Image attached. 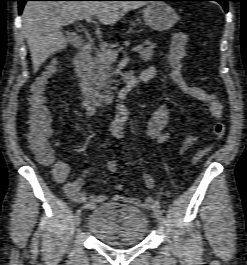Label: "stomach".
Masks as SVG:
<instances>
[{"label": "stomach", "mask_w": 247, "mask_h": 265, "mask_svg": "<svg viewBox=\"0 0 247 265\" xmlns=\"http://www.w3.org/2000/svg\"><path fill=\"white\" fill-rule=\"evenodd\" d=\"M143 19L150 28L166 31L178 21V15L165 2H151L143 10Z\"/></svg>", "instance_id": "1"}]
</instances>
